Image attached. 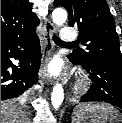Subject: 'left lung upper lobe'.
<instances>
[{
    "label": "left lung upper lobe",
    "instance_id": "1",
    "mask_svg": "<svg viewBox=\"0 0 122 123\" xmlns=\"http://www.w3.org/2000/svg\"><path fill=\"white\" fill-rule=\"evenodd\" d=\"M69 14V26L79 29L85 50H75L70 56L80 64L113 62L122 64L115 22L105 0H55Z\"/></svg>",
    "mask_w": 122,
    "mask_h": 123
}]
</instances>
